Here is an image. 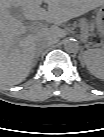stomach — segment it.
I'll list each match as a JSON object with an SVG mask.
<instances>
[{"instance_id":"0dacf381","label":"stomach","mask_w":104,"mask_h":137,"mask_svg":"<svg viewBox=\"0 0 104 137\" xmlns=\"http://www.w3.org/2000/svg\"><path fill=\"white\" fill-rule=\"evenodd\" d=\"M97 14H98L99 16L101 15V9H100V8L97 10ZM83 38H84V39H88L87 33H83ZM89 43H90V42H89ZM91 44L94 45V43H92V42H91Z\"/></svg>"}]
</instances>
